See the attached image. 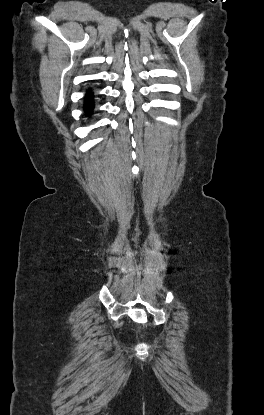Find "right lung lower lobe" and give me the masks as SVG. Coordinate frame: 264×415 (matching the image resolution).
<instances>
[{
  "label": "right lung lower lobe",
  "mask_w": 264,
  "mask_h": 415,
  "mask_svg": "<svg viewBox=\"0 0 264 415\" xmlns=\"http://www.w3.org/2000/svg\"><path fill=\"white\" fill-rule=\"evenodd\" d=\"M93 109V104H92V94L88 93L86 96V102H85V110L86 112H90Z\"/></svg>",
  "instance_id": "98d812e1"
}]
</instances>
